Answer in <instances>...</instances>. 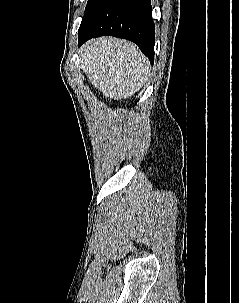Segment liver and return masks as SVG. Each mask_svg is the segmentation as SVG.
Here are the masks:
<instances>
[{
    "instance_id": "obj_1",
    "label": "liver",
    "mask_w": 239,
    "mask_h": 303,
    "mask_svg": "<svg viewBox=\"0 0 239 303\" xmlns=\"http://www.w3.org/2000/svg\"><path fill=\"white\" fill-rule=\"evenodd\" d=\"M80 60L88 81L110 100L131 97L148 79L147 58L127 40L93 39L82 47Z\"/></svg>"
}]
</instances>
